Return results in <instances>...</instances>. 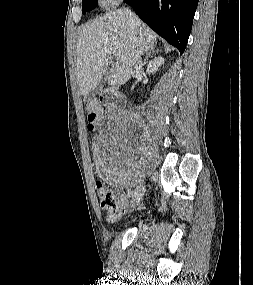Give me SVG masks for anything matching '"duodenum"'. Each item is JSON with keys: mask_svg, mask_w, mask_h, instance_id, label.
I'll use <instances>...</instances> for the list:
<instances>
[{"mask_svg": "<svg viewBox=\"0 0 253 285\" xmlns=\"http://www.w3.org/2000/svg\"><path fill=\"white\" fill-rule=\"evenodd\" d=\"M102 103L106 107V115L115 116L126 106V97L119 93L115 88H110L102 95Z\"/></svg>", "mask_w": 253, "mask_h": 285, "instance_id": "duodenum-1", "label": "duodenum"}]
</instances>
